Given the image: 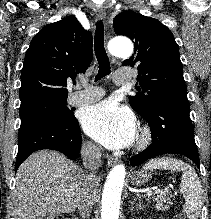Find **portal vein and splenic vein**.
<instances>
[{
	"instance_id": "1",
	"label": "portal vein and splenic vein",
	"mask_w": 211,
	"mask_h": 219,
	"mask_svg": "<svg viewBox=\"0 0 211 219\" xmlns=\"http://www.w3.org/2000/svg\"><path fill=\"white\" fill-rule=\"evenodd\" d=\"M157 192H162V193H163V191H160V190L150 189V190L147 192V195H152L153 193H157Z\"/></svg>"
}]
</instances>
